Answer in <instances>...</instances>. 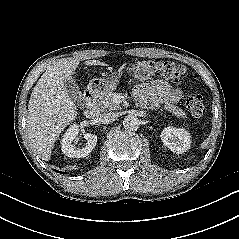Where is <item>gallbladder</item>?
Segmentation results:
<instances>
[{"label":"gallbladder","instance_id":"bac80fb5","mask_svg":"<svg viewBox=\"0 0 239 239\" xmlns=\"http://www.w3.org/2000/svg\"><path fill=\"white\" fill-rule=\"evenodd\" d=\"M64 89L67 91L71 100H73L78 106H83L82 92L74 79L65 81Z\"/></svg>","mask_w":239,"mask_h":239}]
</instances>
